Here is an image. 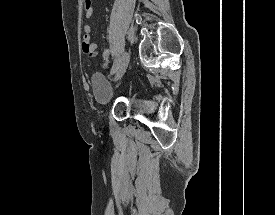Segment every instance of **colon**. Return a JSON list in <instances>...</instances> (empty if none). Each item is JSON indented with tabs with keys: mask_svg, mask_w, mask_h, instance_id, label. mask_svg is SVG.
Listing matches in <instances>:
<instances>
[{
	"mask_svg": "<svg viewBox=\"0 0 275 215\" xmlns=\"http://www.w3.org/2000/svg\"><path fill=\"white\" fill-rule=\"evenodd\" d=\"M102 65H103L104 67H107V66H108V62H107V61H102Z\"/></svg>",
	"mask_w": 275,
	"mask_h": 215,
	"instance_id": "obj_1",
	"label": "colon"
}]
</instances>
